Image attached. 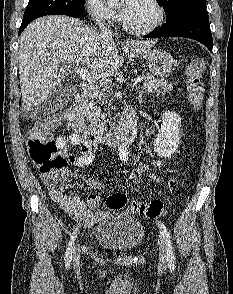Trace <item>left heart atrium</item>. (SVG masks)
<instances>
[{
    "instance_id": "1",
    "label": "left heart atrium",
    "mask_w": 233,
    "mask_h": 294,
    "mask_svg": "<svg viewBox=\"0 0 233 294\" xmlns=\"http://www.w3.org/2000/svg\"><path fill=\"white\" fill-rule=\"evenodd\" d=\"M134 2L135 0H123L122 6H121V12L123 15L128 12V10L132 7Z\"/></svg>"
}]
</instances>
